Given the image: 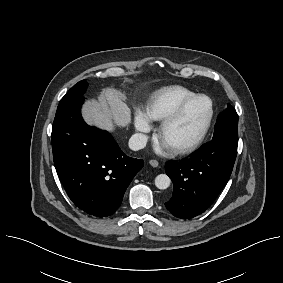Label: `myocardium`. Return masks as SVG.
I'll use <instances>...</instances> for the list:
<instances>
[{"label":"myocardium","mask_w":283,"mask_h":283,"mask_svg":"<svg viewBox=\"0 0 283 283\" xmlns=\"http://www.w3.org/2000/svg\"><path fill=\"white\" fill-rule=\"evenodd\" d=\"M200 98H205L208 99L210 101V113L209 116L207 118V121L202 129V131L199 133V135L193 139L192 141L180 145V146H176L174 148H172L173 152L176 154H187L190 153L194 150H196L204 141V139L206 138L213 119H214V115H215V104L213 99L206 95V94H195L191 97H189L188 99H186L185 101H183L168 117H166L158 130V137L162 139L163 135L167 132V130L174 125L183 115V113L185 112V110L196 100L200 99Z\"/></svg>","instance_id":"obj_1"}]
</instances>
